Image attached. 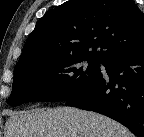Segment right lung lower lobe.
<instances>
[{"instance_id":"right-lung-lower-lobe-1","label":"right lung lower lobe","mask_w":144,"mask_h":137,"mask_svg":"<svg viewBox=\"0 0 144 137\" xmlns=\"http://www.w3.org/2000/svg\"><path fill=\"white\" fill-rule=\"evenodd\" d=\"M103 65L106 71L66 105L104 114L144 137V46Z\"/></svg>"}]
</instances>
